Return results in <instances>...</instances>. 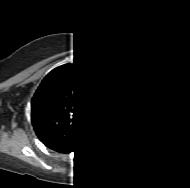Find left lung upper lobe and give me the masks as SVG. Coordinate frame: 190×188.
I'll use <instances>...</instances> for the list:
<instances>
[{
	"label": "left lung upper lobe",
	"mask_w": 190,
	"mask_h": 188,
	"mask_svg": "<svg viewBox=\"0 0 190 188\" xmlns=\"http://www.w3.org/2000/svg\"><path fill=\"white\" fill-rule=\"evenodd\" d=\"M106 82L116 89L128 124L152 129L163 118V93L153 78L133 65L104 68Z\"/></svg>",
	"instance_id": "5c2ea615"
}]
</instances>
